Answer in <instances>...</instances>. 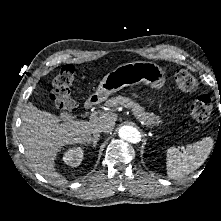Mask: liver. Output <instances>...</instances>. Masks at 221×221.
I'll return each mask as SVG.
<instances>
[{"label":"liver","mask_w":221,"mask_h":221,"mask_svg":"<svg viewBox=\"0 0 221 221\" xmlns=\"http://www.w3.org/2000/svg\"><path fill=\"white\" fill-rule=\"evenodd\" d=\"M21 119V138L30 166L46 179L62 184L65 179L56 172L54 162L60 149L90 140L92 129L98 126H103L106 133L112 132L117 115L103 112L91 121L61 122L56 115L27 103Z\"/></svg>","instance_id":"obj_1"}]
</instances>
